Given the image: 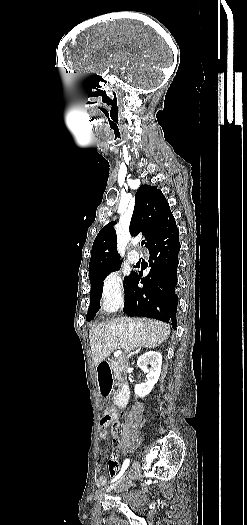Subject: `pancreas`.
Returning <instances> with one entry per match:
<instances>
[{"instance_id":"obj_1","label":"pancreas","mask_w":247,"mask_h":525,"mask_svg":"<svg viewBox=\"0 0 247 525\" xmlns=\"http://www.w3.org/2000/svg\"><path fill=\"white\" fill-rule=\"evenodd\" d=\"M112 371L113 375H115V379L117 381V385H120L121 383V377L124 373V369H122L121 365H119L118 361L116 359H109L108 361Z\"/></svg>"}]
</instances>
